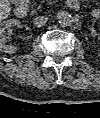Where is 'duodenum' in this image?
Masks as SVG:
<instances>
[{"mask_svg": "<svg viewBox=\"0 0 100 118\" xmlns=\"http://www.w3.org/2000/svg\"><path fill=\"white\" fill-rule=\"evenodd\" d=\"M68 1V5L69 7L73 8V9H77L79 7V2L78 0H67ZM16 14L19 17H23L27 14L28 11V4L25 0H21L17 6H16Z\"/></svg>", "mask_w": 100, "mask_h": 118, "instance_id": "1", "label": "duodenum"}]
</instances>
